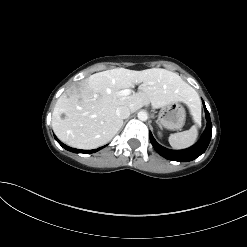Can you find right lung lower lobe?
I'll use <instances>...</instances> for the list:
<instances>
[{
	"label": "right lung lower lobe",
	"mask_w": 247,
	"mask_h": 247,
	"mask_svg": "<svg viewBox=\"0 0 247 247\" xmlns=\"http://www.w3.org/2000/svg\"><path fill=\"white\" fill-rule=\"evenodd\" d=\"M54 137H55L56 141H57L63 148H65L66 150H69V151H71V152H74V153L90 154V153H94V152L100 150L101 148H103V147H100V148H98V149H93V150H79V149H74V148L68 147L67 145L63 144L61 141H59V140L57 139L56 136H54Z\"/></svg>",
	"instance_id": "right-lung-lower-lobe-1"
}]
</instances>
